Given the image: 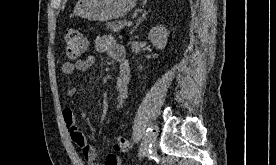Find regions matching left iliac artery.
Instances as JSON below:
<instances>
[{
  "label": "left iliac artery",
  "instance_id": "left-iliac-artery-1",
  "mask_svg": "<svg viewBox=\"0 0 276 165\" xmlns=\"http://www.w3.org/2000/svg\"><path fill=\"white\" fill-rule=\"evenodd\" d=\"M152 133V129L148 128L146 131V135L143 138V141L141 143L140 146V150H139V156H144L148 151H149V136Z\"/></svg>",
  "mask_w": 276,
  "mask_h": 165
}]
</instances>
